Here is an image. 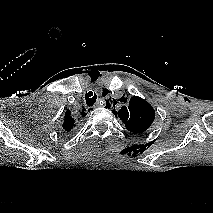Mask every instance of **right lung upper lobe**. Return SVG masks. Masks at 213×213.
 <instances>
[{
    "mask_svg": "<svg viewBox=\"0 0 213 213\" xmlns=\"http://www.w3.org/2000/svg\"><path fill=\"white\" fill-rule=\"evenodd\" d=\"M62 127H63L64 131H66V132H70L75 127L74 119L72 118L70 111H67L65 113L64 122H63Z\"/></svg>",
    "mask_w": 213,
    "mask_h": 213,
    "instance_id": "cb5924a9",
    "label": "right lung upper lobe"
}]
</instances>
